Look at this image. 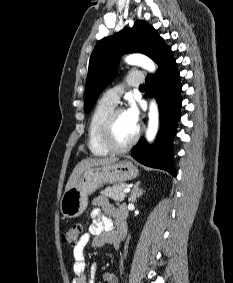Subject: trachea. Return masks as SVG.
I'll use <instances>...</instances> for the list:
<instances>
[{"label": "trachea", "mask_w": 233, "mask_h": 283, "mask_svg": "<svg viewBox=\"0 0 233 283\" xmlns=\"http://www.w3.org/2000/svg\"><path fill=\"white\" fill-rule=\"evenodd\" d=\"M146 86L144 84L140 85L139 89H145Z\"/></svg>", "instance_id": "3493384b"}]
</instances>
